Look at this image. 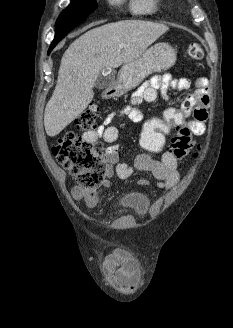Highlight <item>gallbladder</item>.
<instances>
[{
    "instance_id": "obj_1",
    "label": "gallbladder",
    "mask_w": 233,
    "mask_h": 328,
    "mask_svg": "<svg viewBox=\"0 0 233 328\" xmlns=\"http://www.w3.org/2000/svg\"><path fill=\"white\" fill-rule=\"evenodd\" d=\"M105 72H108V70H105ZM114 78H115V75H114L113 71L111 73H109L108 75H104V73H100L95 82V87L98 89H104L113 82Z\"/></svg>"
}]
</instances>
